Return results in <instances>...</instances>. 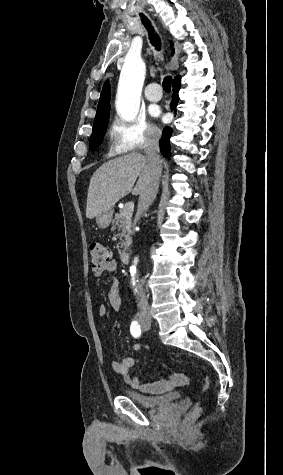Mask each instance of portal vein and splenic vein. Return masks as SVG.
<instances>
[{"label": "portal vein and splenic vein", "instance_id": "1", "mask_svg": "<svg viewBox=\"0 0 283 475\" xmlns=\"http://www.w3.org/2000/svg\"><path fill=\"white\" fill-rule=\"evenodd\" d=\"M126 206H127V210H131V212H133V208H134L133 204H126Z\"/></svg>", "mask_w": 283, "mask_h": 475}]
</instances>
